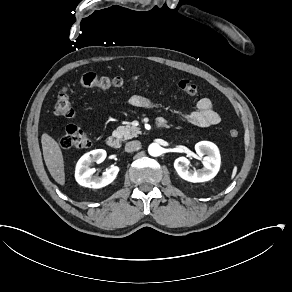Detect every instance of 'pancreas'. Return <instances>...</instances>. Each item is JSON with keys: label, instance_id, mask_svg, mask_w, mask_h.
<instances>
[{"label": "pancreas", "instance_id": "pancreas-1", "mask_svg": "<svg viewBox=\"0 0 292 292\" xmlns=\"http://www.w3.org/2000/svg\"><path fill=\"white\" fill-rule=\"evenodd\" d=\"M139 134H141V131L138 127L133 126V125H125V126L118 127L115 130L114 136L125 141V140L132 139Z\"/></svg>", "mask_w": 292, "mask_h": 292}]
</instances>
